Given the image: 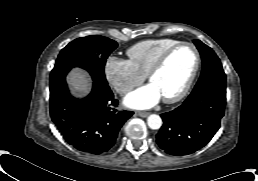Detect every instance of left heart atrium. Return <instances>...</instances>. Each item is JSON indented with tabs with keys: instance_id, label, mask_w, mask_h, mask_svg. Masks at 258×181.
Returning a JSON list of instances; mask_svg holds the SVG:
<instances>
[{
	"instance_id": "obj_1",
	"label": "left heart atrium",
	"mask_w": 258,
	"mask_h": 181,
	"mask_svg": "<svg viewBox=\"0 0 258 181\" xmlns=\"http://www.w3.org/2000/svg\"><path fill=\"white\" fill-rule=\"evenodd\" d=\"M160 98V93L154 85L150 83L130 93L124 102L130 108L147 109L154 106Z\"/></svg>"
}]
</instances>
